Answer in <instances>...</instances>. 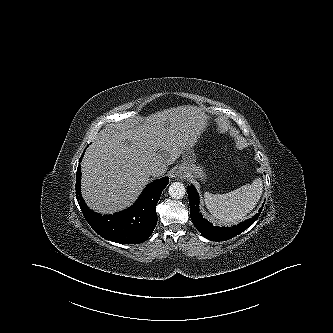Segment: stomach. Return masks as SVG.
Masks as SVG:
<instances>
[{"label":"stomach","instance_id":"1","mask_svg":"<svg viewBox=\"0 0 333 333\" xmlns=\"http://www.w3.org/2000/svg\"><path fill=\"white\" fill-rule=\"evenodd\" d=\"M180 169H183L186 174L194 175L201 180H205L207 177L203 166L196 164V155L194 151L186 152L183 155V163L180 165Z\"/></svg>","mask_w":333,"mask_h":333}]
</instances>
